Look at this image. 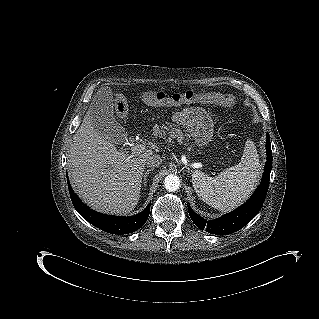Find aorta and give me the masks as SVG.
<instances>
[{
    "label": "aorta",
    "instance_id": "aorta-1",
    "mask_svg": "<svg viewBox=\"0 0 319 319\" xmlns=\"http://www.w3.org/2000/svg\"><path fill=\"white\" fill-rule=\"evenodd\" d=\"M179 186H180V179L178 176L174 174H170L165 177L164 187L166 188V190L170 192H174L179 189Z\"/></svg>",
    "mask_w": 319,
    "mask_h": 319
}]
</instances>
